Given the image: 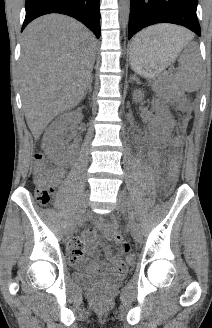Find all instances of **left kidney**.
<instances>
[{
	"mask_svg": "<svg viewBox=\"0 0 212 328\" xmlns=\"http://www.w3.org/2000/svg\"><path fill=\"white\" fill-rule=\"evenodd\" d=\"M143 99V94L141 91L137 92L135 96V101H141ZM153 107L156 110V115L151 121V123L156 127V130L159 131L161 139H167L170 137L172 129L175 125V122L170 114L169 110L162 105L158 100L153 101Z\"/></svg>",
	"mask_w": 212,
	"mask_h": 328,
	"instance_id": "obj_1",
	"label": "left kidney"
}]
</instances>
